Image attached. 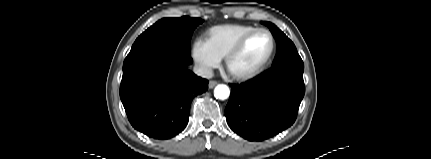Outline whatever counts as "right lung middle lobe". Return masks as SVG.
<instances>
[{"label":"right lung middle lobe","instance_id":"1","mask_svg":"<svg viewBox=\"0 0 431 159\" xmlns=\"http://www.w3.org/2000/svg\"><path fill=\"white\" fill-rule=\"evenodd\" d=\"M203 22L200 18L183 16L163 18L149 27L134 42L131 50L152 43L174 45L190 54V40L194 29Z\"/></svg>","mask_w":431,"mask_h":159}]
</instances>
